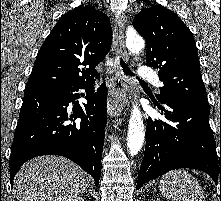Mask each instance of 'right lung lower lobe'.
<instances>
[{
	"label": "right lung lower lobe",
	"instance_id": "right-lung-lower-lobe-1",
	"mask_svg": "<svg viewBox=\"0 0 221 201\" xmlns=\"http://www.w3.org/2000/svg\"><path fill=\"white\" fill-rule=\"evenodd\" d=\"M93 81L53 88H25L9 160L10 181L28 160L40 155H60L77 163L94 179L101 175L106 125L107 91L103 83L94 92ZM85 89L87 104L77 101ZM73 103L72 112L69 104ZM80 118V120H76ZM76 120V121H75Z\"/></svg>",
	"mask_w": 221,
	"mask_h": 201
}]
</instances>
